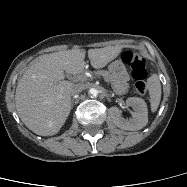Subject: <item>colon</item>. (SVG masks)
Instances as JSON below:
<instances>
[{"label":"colon","mask_w":187,"mask_h":187,"mask_svg":"<svg viewBox=\"0 0 187 187\" xmlns=\"http://www.w3.org/2000/svg\"><path fill=\"white\" fill-rule=\"evenodd\" d=\"M123 61L130 66L132 76L135 80V90L140 95L147 93L148 87L146 82L147 70L146 60L140 50L126 51L122 55Z\"/></svg>","instance_id":"colon-1"}]
</instances>
